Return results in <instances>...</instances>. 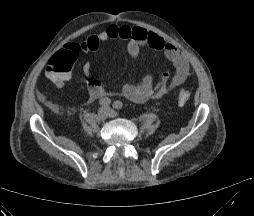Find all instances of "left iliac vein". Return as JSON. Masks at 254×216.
I'll return each mask as SVG.
<instances>
[{
	"mask_svg": "<svg viewBox=\"0 0 254 216\" xmlns=\"http://www.w3.org/2000/svg\"><path fill=\"white\" fill-rule=\"evenodd\" d=\"M110 116L114 117V116H116V113L115 112H111Z\"/></svg>",
	"mask_w": 254,
	"mask_h": 216,
	"instance_id": "obj_1",
	"label": "left iliac vein"
}]
</instances>
